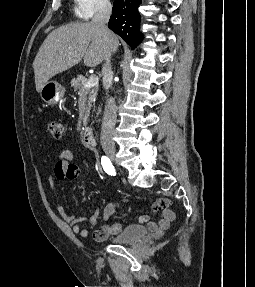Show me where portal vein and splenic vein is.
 I'll use <instances>...</instances> for the list:
<instances>
[{
	"label": "portal vein and splenic vein",
	"instance_id": "18ae733b",
	"mask_svg": "<svg viewBox=\"0 0 255 287\" xmlns=\"http://www.w3.org/2000/svg\"><path fill=\"white\" fill-rule=\"evenodd\" d=\"M95 82H98V78H96V76H90L88 82L84 84V88H90L91 84H95Z\"/></svg>",
	"mask_w": 255,
	"mask_h": 287
}]
</instances>
